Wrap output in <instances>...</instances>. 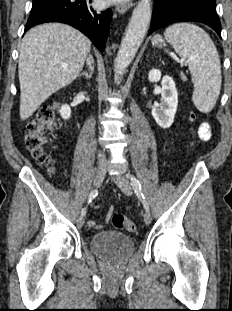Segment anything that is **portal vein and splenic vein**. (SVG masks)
<instances>
[{
	"label": "portal vein and splenic vein",
	"instance_id": "obj_1",
	"mask_svg": "<svg viewBox=\"0 0 232 311\" xmlns=\"http://www.w3.org/2000/svg\"><path fill=\"white\" fill-rule=\"evenodd\" d=\"M62 67H63V68H67V65H64V64H63Z\"/></svg>",
	"mask_w": 232,
	"mask_h": 311
}]
</instances>
